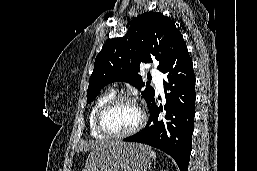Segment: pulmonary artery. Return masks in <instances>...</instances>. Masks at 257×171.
Instances as JSON below:
<instances>
[{
    "label": "pulmonary artery",
    "instance_id": "e3ab8cb5",
    "mask_svg": "<svg viewBox=\"0 0 257 171\" xmlns=\"http://www.w3.org/2000/svg\"><path fill=\"white\" fill-rule=\"evenodd\" d=\"M151 76L155 83L157 92L161 93L163 91V75L159 71L152 69Z\"/></svg>",
    "mask_w": 257,
    "mask_h": 171
}]
</instances>
